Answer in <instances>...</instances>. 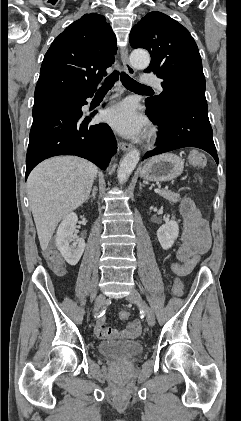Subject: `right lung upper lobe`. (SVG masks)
Instances as JSON below:
<instances>
[{
	"label": "right lung upper lobe",
	"mask_w": 241,
	"mask_h": 421,
	"mask_svg": "<svg viewBox=\"0 0 241 421\" xmlns=\"http://www.w3.org/2000/svg\"><path fill=\"white\" fill-rule=\"evenodd\" d=\"M116 38L102 15L85 14L68 26L44 56L34 105L50 98L95 90L114 62Z\"/></svg>",
	"instance_id": "1"
}]
</instances>
